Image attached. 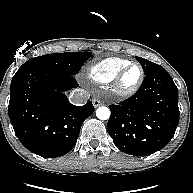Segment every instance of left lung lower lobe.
<instances>
[{
  "mask_svg": "<svg viewBox=\"0 0 193 193\" xmlns=\"http://www.w3.org/2000/svg\"><path fill=\"white\" fill-rule=\"evenodd\" d=\"M107 129L121 151L148 156L166 146L178 122V89L162 67L146 74L138 91L130 98L110 105Z\"/></svg>",
  "mask_w": 193,
  "mask_h": 193,
  "instance_id": "0a47b994",
  "label": "left lung lower lobe"
}]
</instances>
